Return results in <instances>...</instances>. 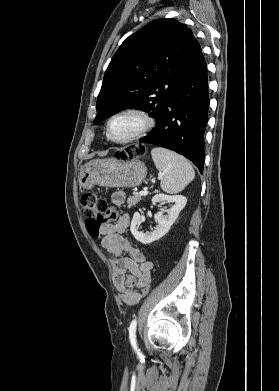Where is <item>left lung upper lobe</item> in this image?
I'll list each match as a JSON object with an SVG mask.
<instances>
[{
  "mask_svg": "<svg viewBox=\"0 0 279 391\" xmlns=\"http://www.w3.org/2000/svg\"><path fill=\"white\" fill-rule=\"evenodd\" d=\"M201 55L200 44L184 24L174 19L148 23L129 36L112 57L93 123L131 107L147 112L157 122Z\"/></svg>",
  "mask_w": 279,
  "mask_h": 391,
  "instance_id": "1",
  "label": "left lung upper lobe"
}]
</instances>
